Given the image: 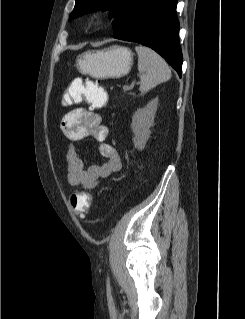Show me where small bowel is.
<instances>
[{"label":"small bowel","mask_w":245,"mask_h":319,"mask_svg":"<svg viewBox=\"0 0 245 319\" xmlns=\"http://www.w3.org/2000/svg\"><path fill=\"white\" fill-rule=\"evenodd\" d=\"M82 80L76 78L70 84L63 98L65 105L76 102V93ZM61 129L65 137L71 141H81L92 137L98 143L102 164L85 166L83 158L77 153L72 144L68 145L65 153L67 164V180L71 187L84 190L96 188L101 181L108 179L113 173L122 168L121 160L115 149L105 142L108 129L102 122L101 115L92 108L78 107L65 114L61 121Z\"/></svg>","instance_id":"obj_1"}]
</instances>
